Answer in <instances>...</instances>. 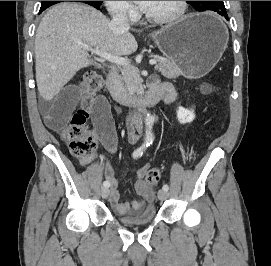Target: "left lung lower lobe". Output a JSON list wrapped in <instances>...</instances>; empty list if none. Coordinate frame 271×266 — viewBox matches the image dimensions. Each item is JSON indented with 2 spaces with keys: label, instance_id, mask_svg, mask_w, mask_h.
<instances>
[{
  "label": "left lung lower lobe",
  "instance_id": "1",
  "mask_svg": "<svg viewBox=\"0 0 271 266\" xmlns=\"http://www.w3.org/2000/svg\"><path fill=\"white\" fill-rule=\"evenodd\" d=\"M219 15L223 16L226 20H228V15L226 12L218 13Z\"/></svg>",
  "mask_w": 271,
  "mask_h": 266
}]
</instances>
